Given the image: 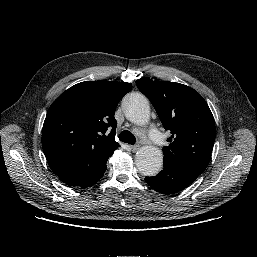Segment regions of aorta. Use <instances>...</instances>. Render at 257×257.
Instances as JSON below:
<instances>
[{"label": "aorta", "mask_w": 257, "mask_h": 257, "mask_svg": "<svg viewBox=\"0 0 257 257\" xmlns=\"http://www.w3.org/2000/svg\"><path fill=\"white\" fill-rule=\"evenodd\" d=\"M126 118L134 124L145 125L150 120V105L145 96L131 93L122 103ZM136 166L143 175L155 176L163 165V154L155 146L141 147L135 156Z\"/></svg>", "instance_id": "obj_1"}]
</instances>
